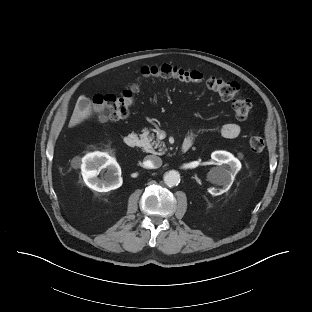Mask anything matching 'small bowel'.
<instances>
[{"label": "small bowel", "mask_w": 312, "mask_h": 312, "mask_svg": "<svg viewBox=\"0 0 312 312\" xmlns=\"http://www.w3.org/2000/svg\"><path fill=\"white\" fill-rule=\"evenodd\" d=\"M241 128L238 124L234 122L225 123L221 128V134L224 138L234 139L240 135ZM195 140V134L193 132H189L184 141H189L193 143Z\"/></svg>", "instance_id": "c3829d8e"}]
</instances>
